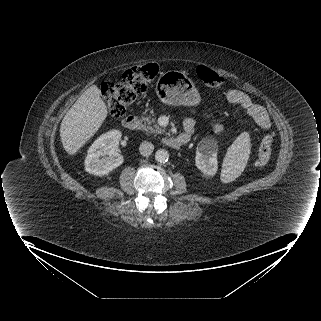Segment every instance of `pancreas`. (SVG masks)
Returning a JSON list of instances; mask_svg holds the SVG:
<instances>
[{
	"instance_id": "cf45deb5",
	"label": "pancreas",
	"mask_w": 321,
	"mask_h": 321,
	"mask_svg": "<svg viewBox=\"0 0 321 321\" xmlns=\"http://www.w3.org/2000/svg\"><path fill=\"white\" fill-rule=\"evenodd\" d=\"M142 129L145 130L148 134L150 133H158L163 134L165 132V129L160 127L156 121L155 118L149 117H143L142 118Z\"/></svg>"
}]
</instances>
